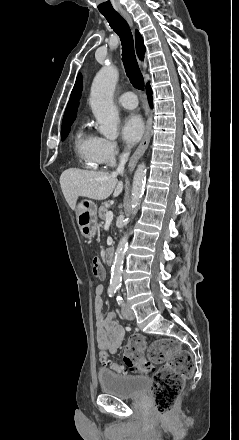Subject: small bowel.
Returning <instances> with one entry per match:
<instances>
[{"label":"small bowel","instance_id":"c3829d8e","mask_svg":"<svg viewBox=\"0 0 239 440\" xmlns=\"http://www.w3.org/2000/svg\"><path fill=\"white\" fill-rule=\"evenodd\" d=\"M103 286L98 285L95 290L94 308L96 318V339L100 349L99 358L102 364L111 365L114 369L109 354H115L122 344L124 328L120 324L117 313L110 311L103 314ZM115 370V369H114Z\"/></svg>","mask_w":239,"mask_h":440}]
</instances>
